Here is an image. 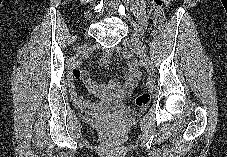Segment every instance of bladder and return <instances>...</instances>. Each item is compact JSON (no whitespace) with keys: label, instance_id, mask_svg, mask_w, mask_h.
Masks as SVG:
<instances>
[{"label":"bladder","instance_id":"obj_1","mask_svg":"<svg viewBox=\"0 0 227 157\" xmlns=\"http://www.w3.org/2000/svg\"><path fill=\"white\" fill-rule=\"evenodd\" d=\"M131 112L132 110L125 105L111 106L101 111L102 114H106V115H125V114H130Z\"/></svg>","mask_w":227,"mask_h":157}]
</instances>
